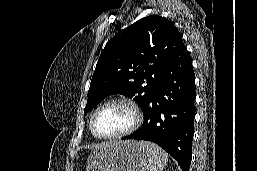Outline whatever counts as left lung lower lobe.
<instances>
[{"mask_svg":"<svg viewBox=\"0 0 257 171\" xmlns=\"http://www.w3.org/2000/svg\"><path fill=\"white\" fill-rule=\"evenodd\" d=\"M194 82L191 57L183 46L166 64L144 109L142 126L122 139L154 142L178 162L182 171H189L194 134Z\"/></svg>","mask_w":257,"mask_h":171,"instance_id":"1","label":"left lung lower lobe"}]
</instances>
